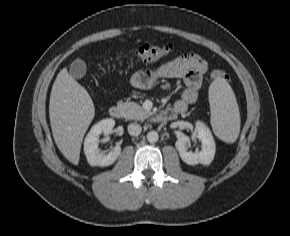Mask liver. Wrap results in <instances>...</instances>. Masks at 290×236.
<instances>
[{
  "instance_id": "liver-1",
  "label": "liver",
  "mask_w": 290,
  "mask_h": 236,
  "mask_svg": "<svg viewBox=\"0 0 290 236\" xmlns=\"http://www.w3.org/2000/svg\"><path fill=\"white\" fill-rule=\"evenodd\" d=\"M94 115L89 93L63 68L52 86L49 118L58 149L74 165L79 163L83 137Z\"/></svg>"
}]
</instances>
